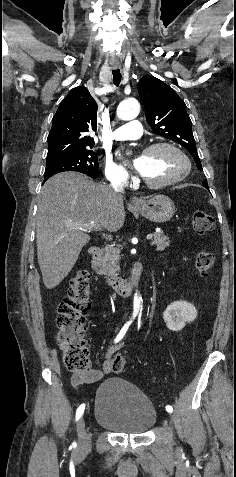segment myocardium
Here are the masks:
<instances>
[{
    "instance_id": "myocardium-1",
    "label": "myocardium",
    "mask_w": 236,
    "mask_h": 477,
    "mask_svg": "<svg viewBox=\"0 0 236 477\" xmlns=\"http://www.w3.org/2000/svg\"><path fill=\"white\" fill-rule=\"evenodd\" d=\"M160 148H169L175 153H177L184 160L185 168H184V171L180 173L179 175L163 182H151L140 175V181L145 186L152 189H162V188H166L181 182L189 175V173L191 172V167H192L189 157L185 154V152L181 148H179L176 144L172 142L160 141V142L153 143L144 149L143 154L153 152Z\"/></svg>"
}]
</instances>
